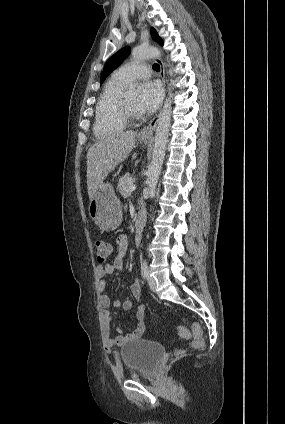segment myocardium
Listing matches in <instances>:
<instances>
[{
	"mask_svg": "<svg viewBox=\"0 0 285 424\" xmlns=\"http://www.w3.org/2000/svg\"><path fill=\"white\" fill-rule=\"evenodd\" d=\"M119 109L122 118L127 122H132L140 118V114L129 106L124 97H121Z\"/></svg>",
	"mask_w": 285,
	"mask_h": 424,
	"instance_id": "myocardium-1",
	"label": "myocardium"
}]
</instances>
